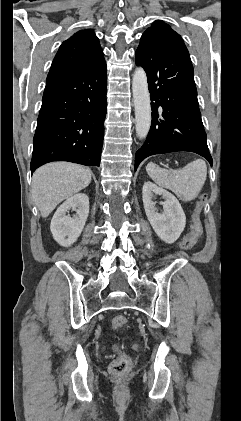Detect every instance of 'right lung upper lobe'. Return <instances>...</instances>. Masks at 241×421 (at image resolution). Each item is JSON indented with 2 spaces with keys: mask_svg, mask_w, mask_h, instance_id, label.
<instances>
[{
  "mask_svg": "<svg viewBox=\"0 0 241 421\" xmlns=\"http://www.w3.org/2000/svg\"><path fill=\"white\" fill-rule=\"evenodd\" d=\"M104 59L98 38L92 29L78 31L64 41L50 68L47 81L87 69Z\"/></svg>",
  "mask_w": 241,
  "mask_h": 421,
  "instance_id": "1",
  "label": "right lung upper lobe"
}]
</instances>
